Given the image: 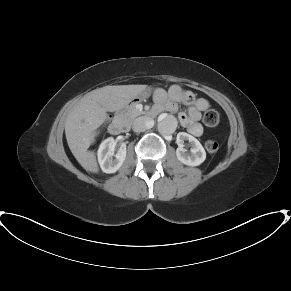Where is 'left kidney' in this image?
I'll list each match as a JSON object with an SVG mask.
<instances>
[{
	"label": "left kidney",
	"mask_w": 291,
	"mask_h": 291,
	"mask_svg": "<svg viewBox=\"0 0 291 291\" xmlns=\"http://www.w3.org/2000/svg\"><path fill=\"white\" fill-rule=\"evenodd\" d=\"M188 141L191 146L190 152L184 148V142ZM176 143L178 148L176 156L178 160L187 166H199L206 159V152L201 143L192 135L179 132L177 134Z\"/></svg>",
	"instance_id": "obj_1"
}]
</instances>
